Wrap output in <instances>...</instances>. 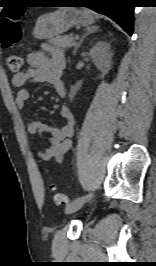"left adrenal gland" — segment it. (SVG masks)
<instances>
[{
	"label": "left adrenal gland",
	"instance_id": "1",
	"mask_svg": "<svg viewBox=\"0 0 156 266\" xmlns=\"http://www.w3.org/2000/svg\"><path fill=\"white\" fill-rule=\"evenodd\" d=\"M98 29H99V28H98L97 26L88 27V28L85 29V33H84V35L81 37L80 41L75 45V49H74V51H73V55L76 54V51L78 50V48L80 47V45L82 44V42L84 41V39H85L88 35H90V34H92V33H95L96 31H98Z\"/></svg>",
	"mask_w": 156,
	"mask_h": 266
}]
</instances>
